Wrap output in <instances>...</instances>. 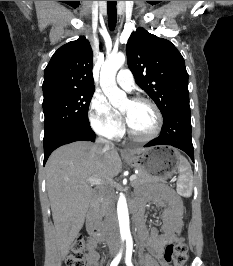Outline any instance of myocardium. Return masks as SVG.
I'll use <instances>...</instances> for the list:
<instances>
[{
  "instance_id": "obj_1",
  "label": "myocardium",
  "mask_w": 233,
  "mask_h": 266,
  "mask_svg": "<svg viewBox=\"0 0 233 266\" xmlns=\"http://www.w3.org/2000/svg\"><path fill=\"white\" fill-rule=\"evenodd\" d=\"M130 101L143 102V103L149 104L155 112L156 124H155L153 131L150 134L145 135V136H139L132 131V129L130 128V126L128 124L127 119L125 118L126 132L129 136V138H131L132 140H134L136 142H149V141L155 139L156 137H158V135L160 134V132L162 130V126H163V115H162V112H161L159 106L152 99H150L148 97H144V96L133 97L130 99Z\"/></svg>"
}]
</instances>
